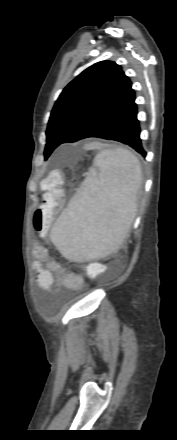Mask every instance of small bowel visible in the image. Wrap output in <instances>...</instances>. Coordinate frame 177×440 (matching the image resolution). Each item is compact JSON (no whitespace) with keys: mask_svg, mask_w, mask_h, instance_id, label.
<instances>
[{"mask_svg":"<svg viewBox=\"0 0 177 440\" xmlns=\"http://www.w3.org/2000/svg\"><path fill=\"white\" fill-rule=\"evenodd\" d=\"M40 232V231H39ZM33 268L36 271L38 286L48 292L55 291L56 287L61 285L79 290L83 287V281L80 277L70 280V273H64L62 266L48 256L47 249L41 245L34 247ZM44 265V266H43Z\"/></svg>","mask_w":177,"mask_h":440,"instance_id":"1","label":"small bowel"}]
</instances>
